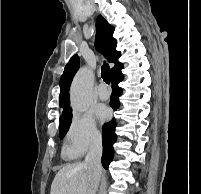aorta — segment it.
Returning a JSON list of instances; mask_svg holds the SVG:
<instances>
[{"instance_id": "aorta-1", "label": "aorta", "mask_w": 201, "mask_h": 194, "mask_svg": "<svg viewBox=\"0 0 201 194\" xmlns=\"http://www.w3.org/2000/svg\"><path fill=\"white\" fill-rule=\"evenodd\" d=\"M93 73L87 67H82L73 78L70 88V102L74 111L84 112L92 99Z\"/></svg>"}]
</instances>
